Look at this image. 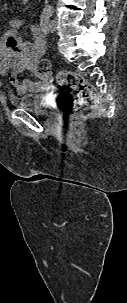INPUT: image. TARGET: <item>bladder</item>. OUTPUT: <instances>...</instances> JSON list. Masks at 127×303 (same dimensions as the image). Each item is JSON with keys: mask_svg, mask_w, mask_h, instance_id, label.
<instances>
[{"mask_svg": "<svg viewBox=\"0 0 127 303\" xmlns=\"http://www.w3.org/2000/svg\"><path fill=\"white\" fill-rule=\"evenodd\" d=\"M13 107L21 110H27L38 114H47L46 107L40 94L24 93L21 95H12L9 98Z\"/></svg>", "mask_w": 127, "mask_h": 303, "instance_id": "bladder-1", "label": "bladder"}]
</instances>
